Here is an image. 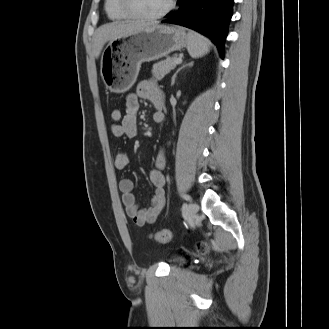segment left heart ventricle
I'll return each instance as SVG.
<instances>
[{
  "label": "left heart ventricle",
  "mask_w": 329,
  "mask_h": 329,
  "mask_svg": "<svg viewBox=\"0 0 329 329\" xmlns=\"http://www.w3.org/2000/svg\"><path fill=\"white\" fill-rule=\"evenodd\" d=\"M169 0H131L133 8L142 15L152 16L161 12Z\"/></svg>",
  "instance_id": "left-heart-ventricle-1"
}]
</instances>
